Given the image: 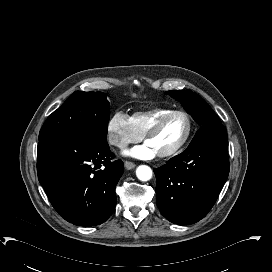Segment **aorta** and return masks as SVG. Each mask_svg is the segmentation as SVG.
Segmentation results:
<instances>
[{"mask_svg": "<svg viewBox=\"0 0 272 272\" xmlns=\"http://www.w3.org/2000/svg\"><path fill=\"white\" fill-rule=\"evenodd\" d=\"M136 176L141 181H149L152 178V169L147 165H140L136 169Z\"/></svg>", "mask_w": 272, "mask_h": 272, "instance_id": "obj_1", "label": "aorta"}]
</instances>
